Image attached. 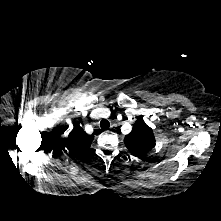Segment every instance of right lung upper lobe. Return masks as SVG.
I'll return each mask as SVG.
<instances>
[{
  "instance_id": "obj_1",
  "label": "right lung upper lobe",
  "mask_w": 221,
  "mask_h": 221,
  "mask_svg": "<svg viewBox=\"0 0 221 221\" xmlns=\"http://www.w3.org/2000/svg\"><path fill=\"white\" fill-rule=\"evenodd\" d=\"M93 139V135L86 134L78 124H75L73 130L69 133L67 148H64V150L70 156H80L88 151Z\"/></svg>"
}]
</instances>
